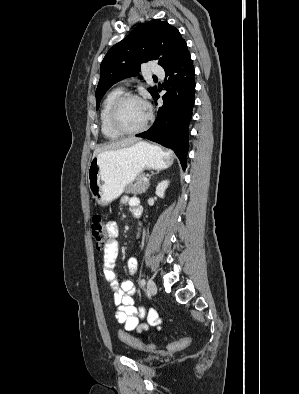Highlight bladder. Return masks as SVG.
<instances>
[{
	"label": "bladder",
	"mask_w": 299,
	"mask_h": 394,
	"mask_svg": "<svg viewBox=\"0 0 299 394\" xmlns=\"http://www.w3.org/2000/svg\"><path fill=\"white\" fill-rule=\"evenodd\" d=\"M156 360V357L153 355H143L139 358V361L142 363H151Z\"/></svg>",
	"instance_id": "obj_1"
}]
</instances>
